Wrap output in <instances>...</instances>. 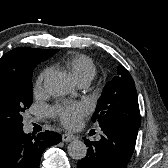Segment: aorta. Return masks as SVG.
I'll list each match as a JSON object with an SVG mask.
<instances>
[{
    "label": "aorta",
    "instance_id": "aorta-1",
    "mask_svg": "<svg viewBox=\"0 0 168 168\" xmlns=\"http://www.w3.org/2000/svg\"><path fill=\"white\" fill-rule=\"evenodd\" d=\"M45 89L52 96L68 95L73 88L71 77L63 71H55L44 80ZM87 147L83 141L74 140L68 145V154L72 159L81 160L86 156Z\"/></svg>",
    "mask_w": 168,
    "mask_h": 168
}]
</instances>
